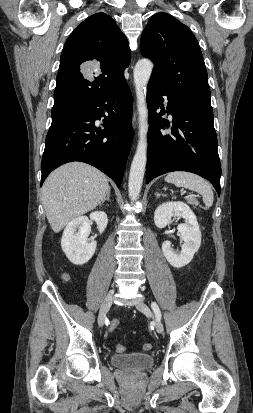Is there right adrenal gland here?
Listing matches in <instances>:
<instances>
[{
	"label": "right adrenal gland",
	"mask_w": 253,
	"mask_h": 413,
	"mask_svg": "<svg viewBox=\"0 0 253 413\" xmlns=\"http://www.w3.org/2000/svg\"><path fill=\"white\" fill-rule=\"evenodd\" d=\"M109 198H110V191L107 193L106 198H104V199L102 200V202L99 204V206L101 207L106 200L109 201Z\"/></svg>",
	"instance_id": "right-adrenal-gland-1"
}]
</instances>
